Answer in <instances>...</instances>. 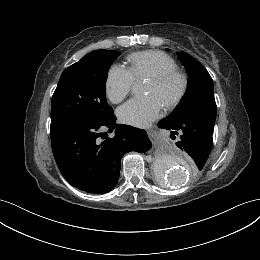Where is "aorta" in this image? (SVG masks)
I'll return each mask as SVG.
<instances>
[{
    "mask_svg": "<svg viewBox=\"0 0 260 260\" xmlns=\"http://www.w3.org/2000/svg\"><path fill=\"white\" fill-rule=\"evenodd\" d=\"M141 87L136 85L133 92L138 93ZM188 159L177 153L170 152L163 157H158L153 165L155 175L165 184L176 186L187 181L191 175Z\"/></svg>",
    "mask_w": 260,
    "mask_h": 260,
    "instance_id": "1",
    "label": "aorta"
}]
</instances>
